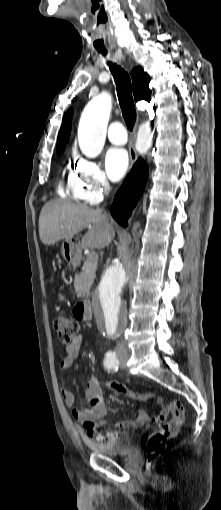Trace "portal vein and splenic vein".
<instances>
[{
    "instance_id": "18ae733b",
    "label": "portal vein and splenic vein",
    "mask_w": 221,
    "mask_h": 510,
    "mask_svg": "<svg viewBox=\"0 0 221 510\" xmlns=\"http://www.w3.org/2000/svg\"><path fill=\"white\" fill-rule=\"evenodd\" d=\"M98 260V255L95 253V252H91L87 255V262L89 264H92L94 262H97Z\"/></svg>"
}]
</instances>
